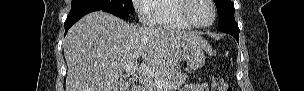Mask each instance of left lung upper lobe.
Masks as SVG:
<instances>
[{"instance_id": "obj_1", "label": "left lung upper lobe", "mask_w": 304, "mask_h": 91, "mask_svg": "<svg viewBox=\"0 0 304 91\" xmlns=\"http://www.w3.org/2000/svg\"><path fill=\"white\" fill-rule=\"evenodd\" d=\"M220 22L218 29L222 32H239L234 18V4L230 0H214Z\"/></svg>"}]
</instances>
